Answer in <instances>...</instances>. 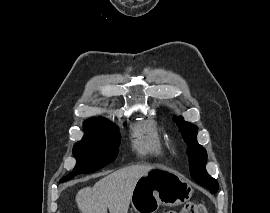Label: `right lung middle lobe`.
Masks as SVG:
<instances>
[{"mask_svg":"<svg viewBox=\"0 0 270 213\" xmlns=\"http://www.w3.org/2000/svg\"><path fill=\"white\" fill-rule=\"evenodd\" d=\"M85 135L73 147L77 160L74 173L61 179L68 181L76 174L90 173L101 169L115 160L120 134L110 122L84 123Z\"/></svg>","mask_w":270,"mask_h":213,"instance_id":"right-lung-middle-lobe-1","label":"right lung middle lobe"}]
</instances>
